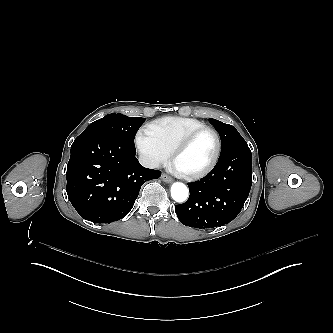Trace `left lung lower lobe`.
<instances>
[{
	"mask_svg": "<svg viewBox=\"0 0 333 333\" xmlns=\"http://www.w3.org/2000/svg\"><path fill=\"white\" fill-rule=\"evenodd\" d=\"M188 185L189 199L175 206L181 223L194 228L229 223L240 213L252 185V155L248 145L220 156L208 175Z\"/></svg>",
	"mask_w": 333,
	"mask_h": 333,
	"instance_id": "obj_1",
	"label": "left lung lower lobe"
}]
</instances>
